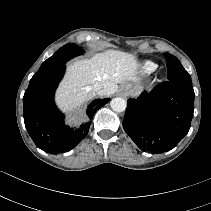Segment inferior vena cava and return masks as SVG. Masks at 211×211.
<instances>
[{
    "mask_svg": "<svg viewBox=\"0 0 211 211\" xmlns=\"http://www.w3.org/2000/svg\"><path fill=\"white\" fill-rule=\"evenodd\" d=\"M92 89L97 93V94H102L103 92V87L100 83H95L93 86H92Z\"/></svg>",
    "mask_w": 211,
    "mask_h": 211,
    "instance_id": "obj_1",
    "label": "inferior vena cava"
}]
</instances>
